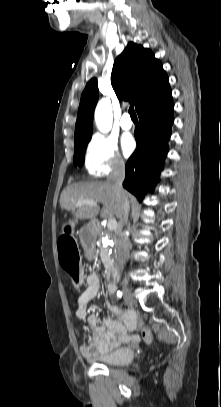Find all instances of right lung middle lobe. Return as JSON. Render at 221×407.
<instances>
[{
	"instance_id": "dd1d6c3e",
	"label": "right lung middle lobe",
	"mask_w": 221,
	"mask_h": 407,
	"mask_svg": "<svg viewBox=\"0 0 221 407\" xmlns=\"http://www.w3.org/2000/svg\"><path fill=\"white\" fill-rule=\"evenodd\" d=\"M90 140L75 144L74 150V164L75 166H82L84 163L85 150Z\"/></svg>"
}]
</instances>
